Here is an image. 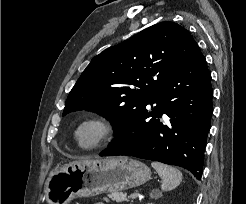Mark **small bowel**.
Listing matches in <instances>:
<instances>
[{"label": "small bowel", "instance_id": "obj_1", "mask_svg": "<svg viewBox=\"0 0 246 204\" xmlns=\"http://www.w3.org/2000/svg\"><path fill=\"white\" fill-rule=\"evenodd\" d=\"M95 204H105V203H95Z\"/></svg>", "mask_w": 246, "mask_h": 204}]
</instances>
